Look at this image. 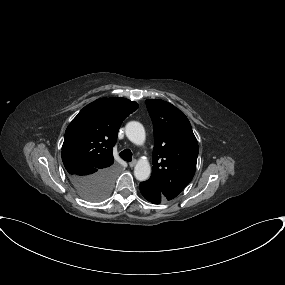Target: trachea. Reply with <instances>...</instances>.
I'll list each match as a JSON object with an SVG mask.
<instances>
[{
	"mask_svg": "<svg viewBox=\"0 0 285 285\" xmlns=\"http://www.w3.org/2000/svg\"><path fill=\"white\" fill-rule=\"evenodd\" d=\"M120 157L125 161H132V152L129 149H125L119 153Z\"/></svg>",
	"mask_w": 285,
	"mask_h": 285,
	"instance_id": "trachea-1",
	"label": "trachea"
}]
</instances>
